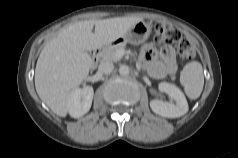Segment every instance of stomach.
<instances>
[{
	"label": "stomach",
	"mask_w": 238,
	"mask_h": 158,
	"mask_svg": "<svg viewBox=\"0 0 238 158\" xmlns=\"http://www.w3.org/2000/svg\"><path fill=\"white\" fill-rule=\"evenodd\" d=\"M150 34L151 24L140 21L133 25L119 40L138 45L146 41Z\"/></svg>",
	"instance_id": "0dacf381"
}]
</instances>
